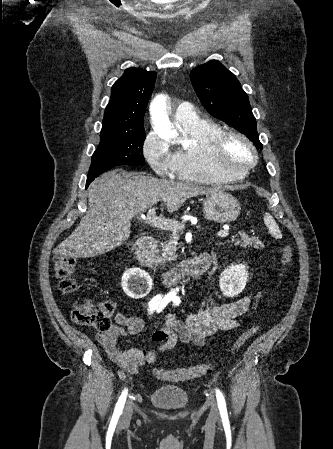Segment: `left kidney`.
I'll use <instances>...</instances> for the list:
<instances>
[{"mask_svg": "<svg viewBox=\"0 0 333 449\" xmlns=\"http://www.w3.org/2000/svg\"><path fill=\"white\" fill-rule=\"evenodd\" d=\"M247 269L245 264H232L221 273L219 286L224 296L233 297L242 292L248 281Z\"/></svg>", "mask_w": 333, "mask_h": 449, "instance_id": "1", "label": "left kidney"}]
</instances>
